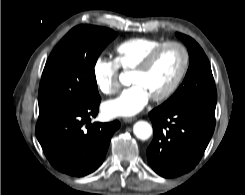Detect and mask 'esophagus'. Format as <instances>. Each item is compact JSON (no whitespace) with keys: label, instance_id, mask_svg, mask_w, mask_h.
Returning a JSON list of instances; mask_svg holds the SVG:
<instances>
[{"label":"esophagus","instance_id":"1","mask_svg":"<svg viewBox=\"0 0 245 195\" xmlns=\"http://www.w3.org/2000/svg\"><path fill=\"white\" fill-rule=\"evenodd\" d=\"M135 120H136L135 117H130V118H125V119H124V121H125L126 123H132V122H134Z\"/></svg>","mask_w":245,"mask_h":195}]
</instances>
